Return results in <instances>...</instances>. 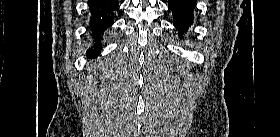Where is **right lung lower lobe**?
<instances>
[{
	"label": "right lung lower lobe",
	"mask_w": 280,
	"mask_h": 137,
	"mask_svg": "<svg viewBox=\"0 0 280 137\" xmlns=\"http://www.w3.org/2000/svg\"><path fill=\"white\" fill-rule=\"evenodd\" d=\"M91 13L90 26L92 34L97 39L103 32L114 23V11L118 8V0H90L88 1ZM100 45H95L94 49L87 52L88 58L97 57L100 51Z\"/></svg>",
	"instance_id": "1"
}]
</instances>
